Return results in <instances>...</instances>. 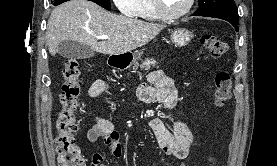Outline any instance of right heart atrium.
Returning <instances> with one entry per match:
<instances>
[{
	"label": "right heart atrium",
	"mask_w": 277,
	"mask_h": 166,
	"mask_svg": "<svg viewBox=\"0 0 277 166\" xmlns=\"http://www.w3.org/2000/svg\"><path fill=\"white\" fill-rule=\"evenodd\" d=\"M117 9L127 15L132 16L136 7L138 5L139 0H112Z\"/></svg>",
	"instance_id": "d8ad5b80"
}]
</instances>
